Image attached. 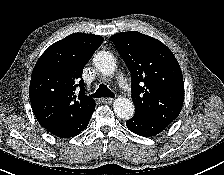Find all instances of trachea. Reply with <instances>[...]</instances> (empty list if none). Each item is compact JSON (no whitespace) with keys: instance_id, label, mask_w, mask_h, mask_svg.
I'll use <instances>...</instances> for the list:
<instances>
[{"instance_id":"trachea-1","label":"trachea","mask_w":224,"mask_h":175,"mask_svg":"<svg viewBox=\"0 0 224 175\" xmlns=\"http://www.w3.org/2000/svg\"><path fill=\"white\" fill-rule=\"evenodd\" d=\"M95 98H101V97H115V95L105 86L104 84H101L97 91L91 95Z\"/></svg>"}]
</instances>
